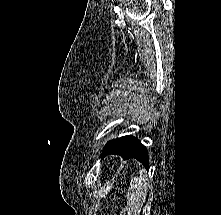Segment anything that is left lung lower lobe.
Instances as JSON below:
<instances>
[{"label":"left lung lower lobe","mask_w":221,"mask_h":215,"mask_svg":"<svg viewBox=\"0 0 221 215\" xmlns=\"http://www.w3.org/2000/svg\"><path fill=\"white\" fill-rule=\"evenodd\" d=\"M108 154H117L124 160L136 158L147 169H149V158L146 147L140 141L132 136H123L110 141L104 148L102 156Z\"/></svg>","instance_id":"left-lung-lower-lobe-1"}]
</instances>
